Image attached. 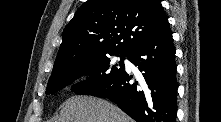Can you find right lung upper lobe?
<instances>
[{"label": "right lung upper lobe", "mask_w": 221, "mask_h": 122, "mask_svg": "<svg viewBox=\"0 0 221 122\" xmlns=\"http://www.w3.org/2000/svg\"><path fill=\"white\" fill-rule=\"evenodd\" d=\"M167 23L159 0H88L63 31L52 75L94 58L128 56Z\"/></svg>", "instance_id": "cb5924a9"}]
</instances>
